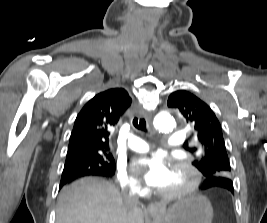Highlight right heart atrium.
I'll list each match as a JSON object with an SVG mask.
<instances>
[{"label": "right heart atrium", "instance_id": "1", "mask_svg": "<svg viewBox=\"0 0 267 223\" xmlns=\"http://www.w3.org/2000/svg\"><path fill=\"white\" fill-rule=\"evenodd\" d=\"M116 179L120 186L131 195H138L142 192L138 180L133 177L123 165H118L116 169Z\"/></svg>", "mask_w": 267, "mask_h": 223}]
</instances>
